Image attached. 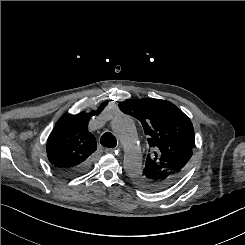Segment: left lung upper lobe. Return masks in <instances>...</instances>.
Listing matches in <instances>:
<instances>
[{"label":"left lung upper lobe","mask_w":245,"mask_h":245,"mask_svg":"<svg viewBox=\"0 0 245 245\" xmlns=\"http://www.w3.org/2000/svg\"><path fill=\"white\" fill-rule=\"evenodd\" d=\"M119 108L141 122L152 150L142 173L133 177L134 183L152 192L156 177H179L195 146L191 120L174 104L161 99H128L120 102Z\"/></svg>","instance_id":"left-lung-upper-lobe-1"}]
</instances>
